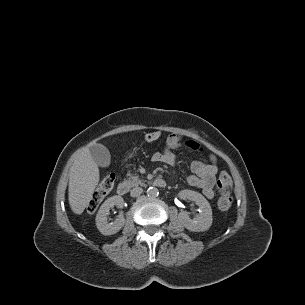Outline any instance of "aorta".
Masks as SVG:
<instances>
[{"label": "aorta", "instance_id": "762f6f07", "mask_svg": "<svg viewBox=\"0 0 305 305\" xmlns=\"http://www.w3.org/2000/svg\"><path fill=\"white\" fill-rule=\"evenodd\" d=\"M159 195V190L156 187H149L147 189V196L150 198H156Z\"/></svg>", "mask_w": 305, "mask_h": 305}]
</instances>
